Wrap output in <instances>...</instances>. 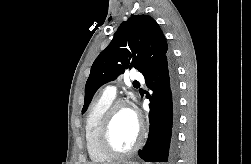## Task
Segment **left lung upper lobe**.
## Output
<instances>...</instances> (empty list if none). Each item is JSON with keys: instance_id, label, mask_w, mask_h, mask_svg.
<instances>
[{"instance_id": "5c2ea615", "label": "left lung upper lobe", "mask_w": 251, "mask_h": 164, "mask_svg": "<svg viewBox=\"0 0 251 164\" xmlns=\"http://www.w3.org/2000/svg\"><path fill=\"white\" fill-rule=\"evenodd\" d=\"M168 55L165 36L156 21L148 15L131 16L119 26L111 43L94 61L85 86L82 113L95 92L125 69L135 68L146 76Z\"/></svg>"}]
</instances>
